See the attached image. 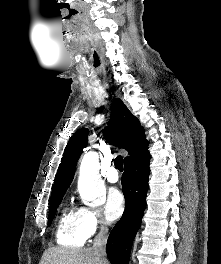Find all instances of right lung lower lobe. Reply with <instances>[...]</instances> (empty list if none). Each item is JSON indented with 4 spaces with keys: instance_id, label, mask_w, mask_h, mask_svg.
I'll list each match as a JSON object with an SVG mask.
<instances>
[{
    "instance_id": "1",
    "label": "right lung lower lobe",
    "mask_w": 221,
    "mask_h": 264,
    "mask_svg": "<svg viewBox=\"0 0 221 264\" xmlns=\"http://www.w3.org/2000/svg\"><path fill=\"white\" fill-rule=\"evenodd\" d=\"M150 158L149 156L124 166L121 183L126 207L121 219L110 232L106 247L107 256L112 264L129 262L132 242L146 208Z\"/></svg>"
}]
</instances>
